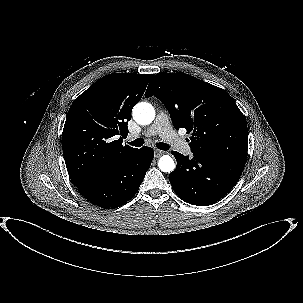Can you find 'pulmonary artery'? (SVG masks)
<instances>
[{
    "instance_id": "obj_1",
    "label": "pulmonary artery",
    "mask_w": 303,
    "mask_h": 303,
    "mask_svg": "<svg viewBox=\"0 0 303 303\" xmlns=\"http://www.w3.org/2000/svg\"><path fill=\"white\" fill-rule=\"evenodd\" d=\"M145 136H154L159 134L170 146L182 154H191V148L187 145L172 129L168 116L161 112L157 114L154 123L146 130ZM136 135H129L128 139L133 140Z\"/></svg>"
}]
</instances>
